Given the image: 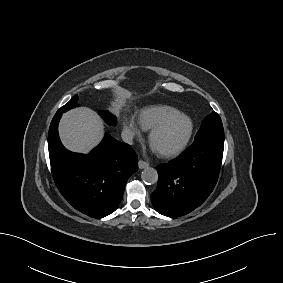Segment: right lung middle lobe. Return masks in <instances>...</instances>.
Returning <instances> with one entry per match:
<instances>
[{
  "instance_id": "dd1d6c3e",
  "label": "right lung middle lobe",
  "mask_w": 283,
  "mask_h": 283,
  "mask_svg": "<svg viewBox=\"0 0 283 283\" xmlns=\"http://www.w3.org/2000/svg\"><path fill=\"white\" fill-rule=\"evenodd\" d=\"M77 101H78V96L75 95L67 104L61 107L57 112L64 113L78 106ZM100 114L104 117V119L106 120L108 124L116 123V118L112 115H109L107 111H101Z\"/></svg>"
}]
</instances>
